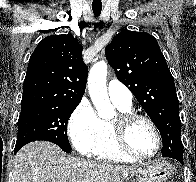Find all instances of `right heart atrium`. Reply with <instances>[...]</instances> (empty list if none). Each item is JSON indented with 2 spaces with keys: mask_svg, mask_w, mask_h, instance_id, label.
<instances>
[{
  "mask_svg": "<svg viewBox=\"0 0 196 182\" xmlns=\"http://www.w3.org/2000/svg\"><path fill=\"white\" fill-rule=\"evenodd\" d=\"M68 133L74 148L88 155L96 146L100 136V119L87 101H81L68 121Z\"/></svg>",
  "mask_w": 196,
  "mask_h": 182,
  "instance_id": "d8ad5b80",
  "label": "right heart atrium"
}]
</instances>
